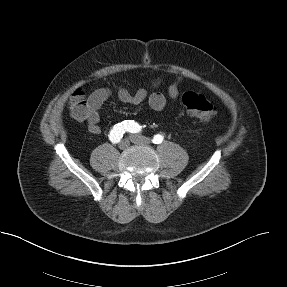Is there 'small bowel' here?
Segmentation results:
<instances>
[{
  "instance_id": "c3829d8e",
  "label": "small bowel",
  "mask_w": 287,
  "mask_h": 287,
  "mask_svg": "<svg viewBox=\"0 0 287 287\" xmlns=\"http://www.w3.org/2000/svg\"><path fill=\"white\" fill-rule=\"evenodd\" d=\"M183 78L178 77L168 88V95L171 99H177L179 96V88ZM160 81L157 80L154 83V87L159 85ZM111 92L107 88H99L93 91L88 97L89 114L85 119L88 130L94 135L101 133L100 122V110L103 104L110 97ZM118 98L125 103L129 104H140L147 102L149 107L155 111H162L166 107L165 96L157 91L149 93L146 89H139L132 93L125 88L118 90Z\"/></svg>"
}]
</instances>
